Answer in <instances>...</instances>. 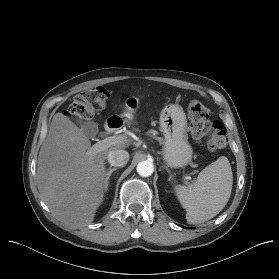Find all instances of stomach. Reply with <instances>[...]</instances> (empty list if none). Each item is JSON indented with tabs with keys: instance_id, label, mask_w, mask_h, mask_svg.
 Returning <instances> with one entry per match:
<instances>
[{
	"instance_id": "stomach-1",
	"label": "stomach",
	"mask_w": 279,
	"mask_h": 279,
	"mask_svg": "<svg viewBox=\"0 0 279 279\" xmlns=\"http://www.w3.org/2000/svg\"><path fill=\"white\" fill-rule=\"evenodd\" d=\"M139 106L137 97L125 101L127 114L133 113ZM160 130L164 136L163 159L168 167L186 166L192 159L193 150L188 143L187 119L182 107L176 104L166 105L160 113Z\"/></svg>"
}]
</instances>
